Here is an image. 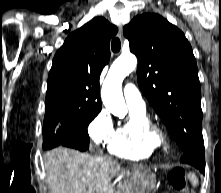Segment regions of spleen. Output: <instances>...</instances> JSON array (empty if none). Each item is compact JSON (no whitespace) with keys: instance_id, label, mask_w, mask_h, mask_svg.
Here are the masks:
<instances>
[{"instance_id":"spleen-1","label":"spleen","mask_w":221,"mask_h":193,"mask_svg":"<svg viewBox=\"0 0 221 193\" xmlns=\"http://www.w3.org/2000/svg\"><path fill=\"white\" fill-rule=\"evenodd\" d=\"M188 178L193 186H197L198 179L196 178L195 174L193 173L188 174Z\"/></svg>"}]
</instances>
